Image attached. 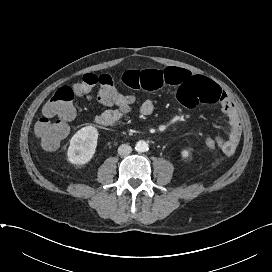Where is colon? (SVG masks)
Returning a JSON list of instances; mask_svg holds the SVG:
<instances>
[{"label":"colon","instance_id":"colon-1","mask_svg":"<svg viewBox=\"0 0 272 272\" xmlns=\"http://www.w3.org/2000/svg\"><path fill=\"white\" fill-rule=\"evenodd\" d=\"M98 88L97 97L100 103L130 110L135 103L131 94L119 92L110 75L85 74L76 79L71 86H62L56 90L44 105L43 117L35 125V134L40 139L42 147L47 151L55 150L67 136L68 122L75 115V96L91 97ZM53 118H57L53 120ZM205 145L209 149L217 147L213 138H207Z\"/></svg>","mask_w":272,"mask_h":272}]
</instances>
